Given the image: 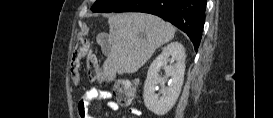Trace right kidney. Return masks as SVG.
<instances>
[{"label":"right kidney","instance_id":"right-kidney-1","mask_svg":"<svg viewBox=\"0 0 273 118\" xmlns=\"http://www.w3.org/2000/svg\"><path fill=\"white\" fill-rule=\"evenodd\" d=\"M185 58L183 45L179 42H171L151 63L144 84L143 98L145 106L153 113L163 115L174 106L183 85ZM173 62L175 63L172 64ZM162 67L165 70L164 77L159 75ZM168 78H170L168 87H165ZM158 84L161 87L159 94L156 93L159 88Z\"/></svg>","mask_w":273,"mask_h":118}]
</instances>
